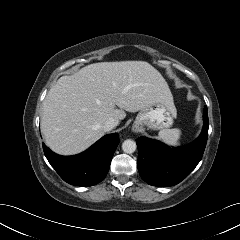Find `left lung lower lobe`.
Returning <instances> with one entry per match:
<instances>
[{"label":"left lung lower lobe","mask_w":240,"mask_h":240,"mask_svg":"<svg viewBox=\"0 0 240 240\" xmlns=\"http://www.w3.org/2000/svg\"><path fill=\"white\" fill-rule=\"evenodd\" d=\"M204 126L200 136L185 147L170 148L163 143L139 137L138 171L148 184L158 187L173 186L185 179L200 162L208 137V113L204 109Z\"/></svg>","instance_id":"left-lung-lower-lobe-1"}]
</instances>
